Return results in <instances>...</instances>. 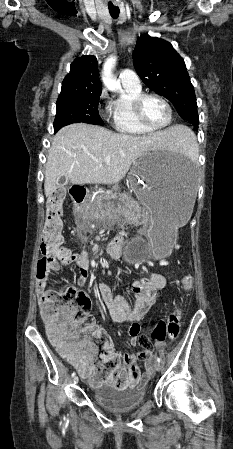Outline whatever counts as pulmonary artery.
I'll use <instances>...</instances> for the list:
<instances>
[{
    "label": "pulmonary artery",
    "mask_w": 233,
    "mask_h": 449,
    "mask_svg": "<svg viewBox=\"0 0 233 449\" xmlns=\"http://www.w3.org/2000/svg\"><path fill=\"white\" fill-rule=\"evenodd\" d=\"M119 81L123 85H128L136 88L141 87V82L137 76V74L131 69H124L119 74Z\"/></svg>",
    "instance_id": "e3ab8cb5"
}]
</instances>
